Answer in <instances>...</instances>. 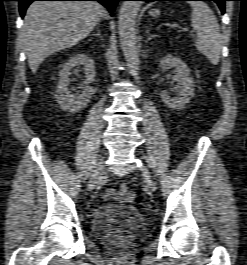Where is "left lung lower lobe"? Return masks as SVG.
<instances>
[{"mask_svg":"<svg viewBox=\"0 0 247 265\" xmlns=\"http://www.w3.org/2000/svg\"><path fill=\"white\" fill-rule=\"evenodd\" d=\"M139 1H146L147 3L153 2V1H190V0H139ZM202 1H214L218 4L222 14L225 13V1L229 0H202Z\"/></svg>","mask_w":247,"mask_h":265,"instance_id":"obj_1","label":"left lung lower lobe"}]
</instances>
